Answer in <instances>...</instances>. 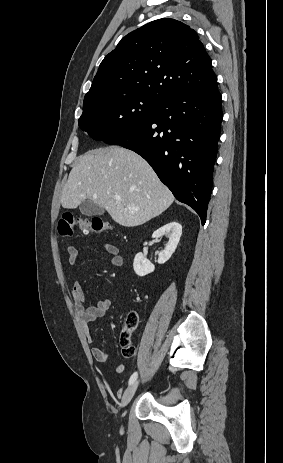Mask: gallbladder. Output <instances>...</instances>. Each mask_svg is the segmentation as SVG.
Instances as JSON below:
<instances>
[{"mask_svg": "<svg viewBox=\"0 0 283 463\" xmlns=\"http://www.w3.org/2000/svg\"><path fill=\"white\" fill-rule=\"evenodd\" d=\"M79 210L81 214L85 216H94V215H100L105 212V209L96 203H94L92 200H84L81 202L79 206Z\"/></svg>", "mask_w": 283, "mask_h": 463, "instance_id": "gallbladder-1", "label": "gallbladder"}]
</instances>
